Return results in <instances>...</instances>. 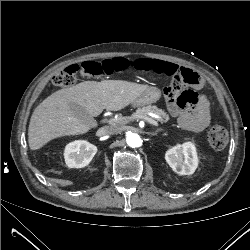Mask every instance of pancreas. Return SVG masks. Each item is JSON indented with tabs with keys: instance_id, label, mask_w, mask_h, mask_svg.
<instances>
[{
	"instance_id": "obj_1",
	"label": "pancreas",
	"mask_w": 250,
	"mask_h": 250,
	"mask_svg": "<svg viewBox=\"0 0 250 250\" xmlns=\"http://www.w3.org/2000/svg\"><path fill=\"white\" fill-rule=\"evenodd\" d=\"M151 112V113H155L157 115H159L161 117V120L163 122H167L169 121L170 117L169 115L163 111L162 109H159L157 106H146V107H142V108H138L136 110V112L132 115L131 119H117L115 121L116 124L121 125L123 123H125L128 120H134V119H139L141 116H145L146 113Z\"/></svg>"
}]
</instances>
